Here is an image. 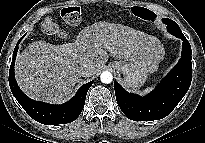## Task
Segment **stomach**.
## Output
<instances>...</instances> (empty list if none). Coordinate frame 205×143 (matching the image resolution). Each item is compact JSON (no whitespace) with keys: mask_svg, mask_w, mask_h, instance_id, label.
<instances>
[{"mask_svg":"<svg viewBox=\"0 0 205 143\" xmlns=\"http://www.w3.org/2000/svg\"><path fill=\"white\" fill-rule=\"evenodd\" d=\"M161 44L157 45L155 57L160 59L163 55ZM154 60L135 59L118 60L112 63V67L124 75V85L128 88L138 89L146 82L153 71Z\"/></svg>","mask_w":205,"mask_h":143,"instance_id":"stomach-1","label":"stomach"}]
</instances>
